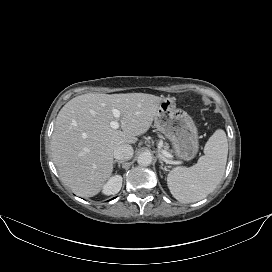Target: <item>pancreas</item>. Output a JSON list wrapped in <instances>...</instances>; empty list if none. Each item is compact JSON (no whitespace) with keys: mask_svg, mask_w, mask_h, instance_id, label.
Returning a JSON list of instances; mask_svg holds the SVG:
<instances>
[{"mask_svg":"<svg viewBox=\"0 0 272 272\" xmlns=\"http://www.w3.org/2000/svg\"><path fill=\"white\" fill-rule=\"evenodd\" d=\"M163 148H164V150H168L169 149V145L167 143H164L163 144Z\"/></svg>","mask_w":272,"mask_h":272,"instance_id":"pancreas-1","label":"pancreas"}]
</instances>
